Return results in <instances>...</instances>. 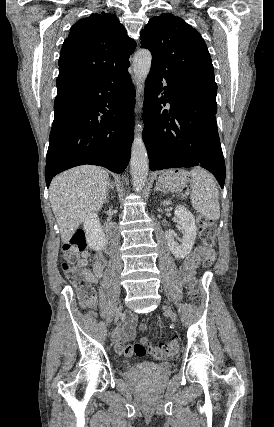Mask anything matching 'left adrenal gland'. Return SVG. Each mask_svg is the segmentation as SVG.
Listing matches in <instances>:
<instances>
[{
    "instance_id": "a2214340",
    "label": "left adrenal gland",
    "mask_w": 274,
    "mask_h": 427,
    "mask_svg": "<svg viewBox=\"0 0 274 427\" xmlns=\"http://www.w3.org/2000/svg\"><path fill=\"white\" fill-rule=\"evenodd\" d=\"M154 192H162V190H160L159 186H157L156 184V188H154Z\"/></svg>"
}]
</instances>
